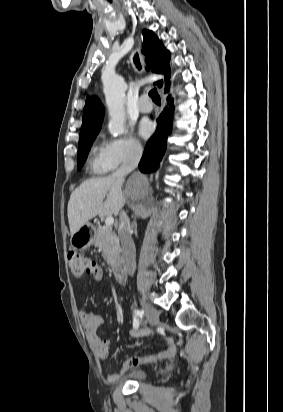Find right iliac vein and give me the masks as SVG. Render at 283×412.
Wrapping results in <instances>:
<instances>
[{
    "label": "right iliac vein",
    "mask_w": 283,
    "mask_h": 412,
    "mask_svg": "<svg viewBox=\"0 0 283 412\" xmlns=\"http://www.w3.org/2000/svg\"><path fill=\"white\" fill-rule=\"evenodd\" d=\"M141 304L147 314L150 325L156 327L159 324V314L157 310L143 301H141Z\"/></svg>",
    "instance_id": "obj_1"
}]
</instances>
